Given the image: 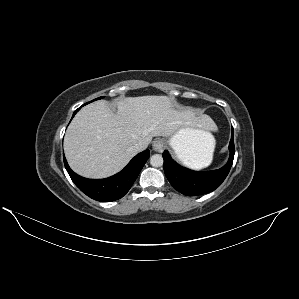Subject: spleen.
I'll return each mask as SVG.
<instances>
[{
    "instance_id": "1",
    "label": "spleen",
    "mask_w": 299,
    "mask_h": 299,
    "mask_svg": "<svg viewBox=\"0 0 299 299\" xmlns=\"http://www.w3.org/2000/svg\"><path fill=\"white\" fill-rule=\"evenodd\" d=\"M206 123H207V127L211 128V129L215 125L214 122L210 118L207 119ZM208 136L211 139H213V136L209 132H208ZM180 159L182 161H184L186 164H188L189 166H191L192 168L200 169V168H203V167H207L211 163L212 154H207L205 160H203L201 162L200 161L187 162L186 159L183 158V156H180Z\"/></svg>"
}]
</instances>
